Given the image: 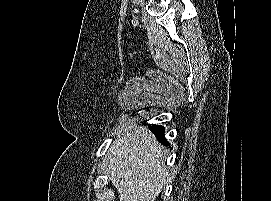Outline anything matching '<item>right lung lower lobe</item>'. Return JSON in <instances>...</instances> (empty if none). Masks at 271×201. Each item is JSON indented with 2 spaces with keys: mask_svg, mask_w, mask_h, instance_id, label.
<instances>
[{
  "mask_svg": "<svg viewBox=\"0 0 271 201\" xmlns=\"http://www.w3.org/2000/svg\"><path fill=\"white\" fill-rule=\"evenodd\" d=\"M150 130L154 133V135L157 137V139L164 145H170L164 135V127L162 126H150Z\"/></svg>",
  "mask_w": 271,
  "mask_h": 201,
  "instance_id": "1",
  "label": "right lung lower lobe"
}]
</instances>
